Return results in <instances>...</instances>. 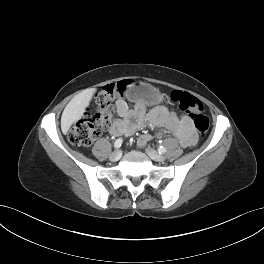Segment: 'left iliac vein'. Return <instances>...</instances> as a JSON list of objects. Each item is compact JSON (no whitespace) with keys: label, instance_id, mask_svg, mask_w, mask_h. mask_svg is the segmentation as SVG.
<instances>
[{"label":"left iliac vein","instance_id":"1","mask_svg":"<svg viewBox=\"0 0 264 264\" xmlns=\"http://www.w3.org/2000/svg\"><path fill=\"white\" fill-rule=\"evenodd\" d=\"M147 154L150 156L151 159L157 162H163L166 158L163 155H160L157 151L152 148H146Z\"/></svg>","mask_w":264,"mask_h":264}]
</instances>
